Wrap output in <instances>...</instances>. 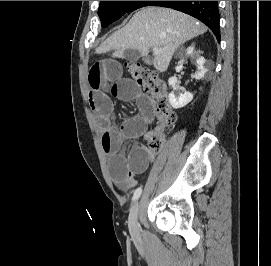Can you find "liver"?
<instances>
[{
  "label": "liver",
  "mask_w": 271,
  "mask_h": 266,
  "mask_svg": "<svg viewBox=\"0 0 271 266\" xmlns=\"http://www.w3.org/2000/svg\"><path fill=\"white\" fill-rule=\"evenodd\" d=\"M206 31L204 24L187 14L150 6L136 12L125 27L113 33L96 49V53L114 50L113 57L124 58V51L130 49L145 57L151 47H157L161 52L155 54L153 65L159 72H165L175 50Z\"/></svg>",
  "instance_id": "liver-1"
}]
</instances>
